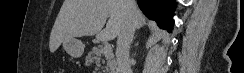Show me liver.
<instances>
[{
	"mask_svg": "<svg viewBox=\"0 0 244 73\" xmlns=\"http://www.w3.org/2000/svg\"><path fill=\"white\" fill-rule=\"evenodd\" d=\"M123 6V0H64L51 31L50 52L54 53L61 43L75 37L96 35L100 41L115 39L124 23ZM145 24L146 19L136 6L135 28Z\"/></svg>",
	"mask_w": 244,
	"mask_h": 73,
	"instance_id": "liver-1",
	"label": "liver"
}]
</instances>
